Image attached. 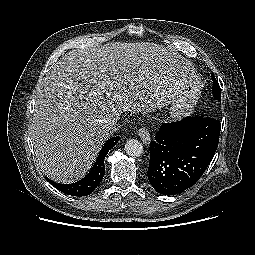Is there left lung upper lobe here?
Listing matches in <instances>:
<instances>
[{"label": "left lung upper lobe", "mask_w": 255, "mask_h": 255, "mask_svg": "<svg viewBox=\"0 0 255 255\" xmlns=\"http://www.w3.org/2000/svg\"><path fill=\"white\" fill-rule=\"evenodd\" d=\"M213 78V95L216 99H218L219 101H221V90H220V86L218 84V82L216 81L214 75H212Z\"/></svg>", "instance_id": "5c2ea615"}]
</instances>
